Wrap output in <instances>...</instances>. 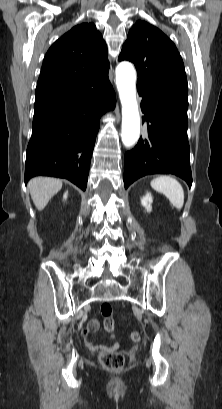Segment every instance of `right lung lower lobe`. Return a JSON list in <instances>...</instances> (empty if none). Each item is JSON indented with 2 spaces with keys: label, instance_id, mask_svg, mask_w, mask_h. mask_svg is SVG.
<instances>
[{
  "label": "right lung lower lobe",
  "instance_id": "1",
  "mask_svg": "<svg viewBox=\"0 0 222 409\" xmlns=\"http://www.w3.org/2000/svg\"><path fill=\"white\" fill-rule=\"evenodd\" d=\"M114 107L108 75L91 80L79 96L35 107L25 183L38 175L54 176L85 190L100 117Z\"/></svg>",
  "mask_w": 222,
  "mask_h": 409
}]
</instances>
